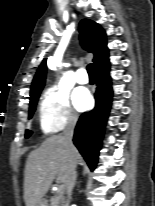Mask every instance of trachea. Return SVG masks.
I'll return each instance as SVG.
<instances>
[{
  "label": "trachea",
  "mask_w": 155,
  "mask_h": 206,
  "mask_svg": "<svg viewBox=\"0 0 155 206\" xmlns=\"http://www.w3.org/2000/svg\"><path fill=\"white\" fill-rule=\"evenodd\" d=\"M87 72H88V74H89V77H95L96 75V72H95V66H94V64H89L88 66H87Z\"/></svg>",
  "instance_id": "3493384b"
}]
</instances>
